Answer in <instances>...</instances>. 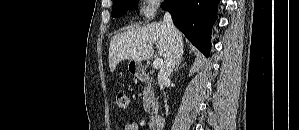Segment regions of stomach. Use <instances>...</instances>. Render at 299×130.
<instances>
[{
    "label": "stomach",
    "mask_w": 299,
    "mask_h": 130,
    "mask_svg": "<svg viewBox=\"0 0 299 130\" xmlns=\"http://www.w3.org/2000/svg\"><path fill=\"white\" fill-rule=\"evenodd\" d=\"M142 70V63L134 60H130L128 63V71L131 74L137 75L141 72Z\"/></svg>",
    "instance_id": "0dacf381"
}]
</instances>
